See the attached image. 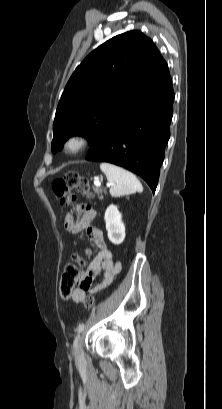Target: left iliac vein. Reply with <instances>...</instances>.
I'll return each instance as SVG.
<instances>
[{
	"mask_svg": "<svg viewBox=\"0 0 222 409\" xmlns=\"http://www.w3.org/2000/svg\"><path fill=\"white\" fill-rule=\"evenodd\" d=\"M74 350L76 357H81L82 355V344H81V335H78L74 341Z\"/></svg>",
	"mask_w": 222,
	"mask_h": 409,
	"instance_id": "obj_1",
	"label": "left iliac vein"
}]
</instances>
